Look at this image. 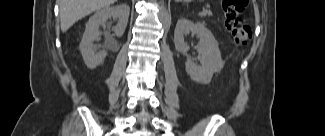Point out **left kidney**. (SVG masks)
<instances>
[{
    "label": "left kidney",
    "instance_id": "1",
    "mask_svg": "<svg viewBox=\"0 0 325 136\" xmlns=\"http://www.w3.org/2000/svg\"><path fill=\"white\" fill-rule=\"evenodd\" d=\"M190 33L200 39L198 51L201 54V65H197L187 56L186 72L196 82L209 84L214 73L221 72L224 67L218 43L203 23H193L186 18H180L174 31V44L177 51L187 52L188 46L185 43V37Z\"/></svg>",
    "mask_w": 325,
    "mask_h": 136
}]
</instances>
